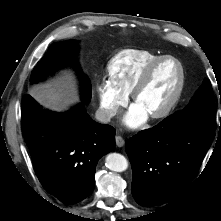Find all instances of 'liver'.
Returning <instances> with one entry per match:
<instances>
[{
    "mask_svg": "<svg viewBox=\"0 0 221 221\" xmlns=\"http://www.w3.org/2000/svg\"><path fill=\"white\" fill-rule=\"evenodd\" d=\"M30 95L44 107L58 112L77 101L76 92L69 77L55 83L34 87L30 90Z\"/></svg>",
    "mask_w": 221,
    "mask_h": 221,
    "instance_id": "6515ba94",
    "label": "liver"
}]
</instances>
